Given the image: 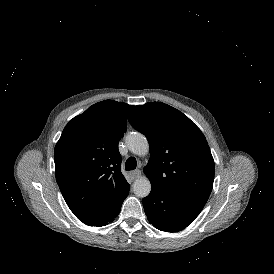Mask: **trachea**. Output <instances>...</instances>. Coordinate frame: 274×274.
<instances>
[{
	"instance_id": "obj_1",
	"label": "trachea",
	"mask_w": 274,
	"mask_h": 274,
	"mask_svg": "<svg viewBox=\"0 0 274 274\" xmlns=\"http://www.w3.org/2000/svg\"><path fill=\"white\" fill-rule=\"evenodd\" d=\"M137 167V161L134 157H129L127 160H126V163H125V169L126 170H134L136 169Z\"/></svg>"
}]
</instances>
